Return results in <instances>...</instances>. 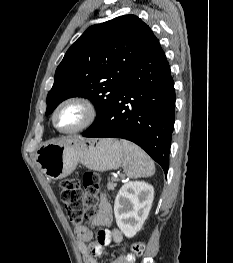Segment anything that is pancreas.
<instances>
[{"label":"pancreas","mask_w":233,"mask_h":263,"mask_svg":"<svg viewBox=\"0 0 233 263\" xmlns=\"http://www.w3.org/2000/svg\"><path fill=\"white\" fill-rule=\"evenodd\" d=\"M115 187H116V183H114V182H108V184H107V189H108L109 191L114 190Z\"/></svg>","instance_id":"obj_1"}]
</instances>
